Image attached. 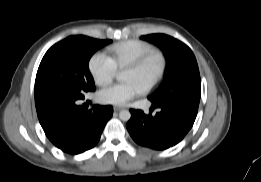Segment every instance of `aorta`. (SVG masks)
I'll use <instances>...</instances> for the list:
<instances>
[{"instance_id": "1", "label": "aorta", "mask_w": 261, "mask_h": 182, "mask_svg": "<svg viewBox=\"0 0 261 182\" xmlns=\"http://www.w3.org/2000/svg\"><path fill=\"white\" fill-rule=\"evenodd\" d=\"M117 79H120V74L117 75ZM119 118L122 120V121H129L130 118H131V113L129 110H121L120 113H119Z\"/></svg>"}]
</instances>
